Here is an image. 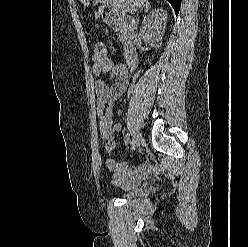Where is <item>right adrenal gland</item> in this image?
Wrapping results in <instances>:
<instances>
[{
	"label": "right adrenal gland",
	"instance_id": "1",
	"mask_svg": "<svg viewBox=\"0 0 248 247\" xmlns=\"http://www.w3.org/2000/svg\"><path fill=\"white\" fill-rule=\"evenodd\" d=\"M150 9V4L147 1L145 4H143V6L139 9L138 13H137V18L139 17V14L142 13L143 11L146 13L148 10Z\"/></svg>",
	"mask_w": 248,
	"mask_h": 247
}]
</instances>
